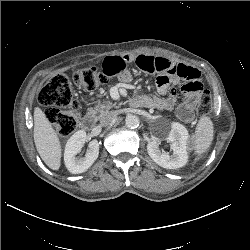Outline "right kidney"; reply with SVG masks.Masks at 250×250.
Listing matches in <instances>:
<instances>
[{
	"mask_svg": "<svg viewBox=\"0 0 250 250\" xmlns=\"http://www.w3.org/2000/svg\"><path fill=\"white\" fill-rule=\"evenodd\" d=\"M86 141V132L79 130L74 133L67 141L64 152L65 166L72 174H80L85 171L98 158L99 144L97 140H92L89 145L85 157L77 158L76 155L81 151Z\"/></svg>",
	"mask_w": 250,
	"mask_h": 250,
	"instance_id": "right-kidney-1",
	"label": "right kidney"
}]
</instances>
